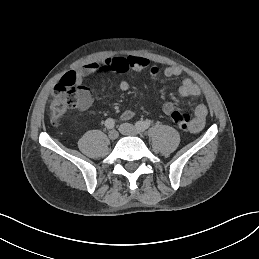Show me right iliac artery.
<instances>
[{
  "label": "right iliac artery",
  "instance_id": "obj_1",
  "mask_svg": "<svg viewBox=\"0 0 259 259\" xmlns=\"http://www.w3.org/2000/svg\"><path fill=\"white\" fill-rule=\"evenodd\" d=\"M105 126H106L108 129H113L114 126H115V121H114L112 118H108V119L105 121Z\"/></svg>",
  "mask_w": 259,
  "mask_h": 259
}]
</instances>
